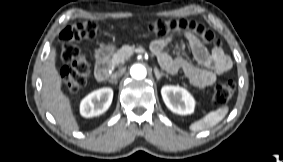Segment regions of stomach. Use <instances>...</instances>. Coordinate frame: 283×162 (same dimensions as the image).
Segmentation results:
<instances>
[{
  "label": "stomach",
  "instance_id": "stomach-1",
  "mask_svg": "<svg viewBox=\"0 0 283 162\" xmlns=\"http://www.w3.org/2000/svg\"><path fill=\"white\" fill-rule=\"evenodd\" d=\"M105 51L108 52V53H112L114 51V47L112 45H108L106 48H105Z\"/></svg>",
  "mask_w": 283,
  "mask_h": 162
}]
</instances>
